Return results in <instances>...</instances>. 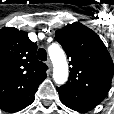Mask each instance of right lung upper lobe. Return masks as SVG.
<instances>
[{
	"label": "right lung upper lobe",
	"mask_w": 114,
	"mask_h": 114,
	"mask_svg": "<svg viewBox=\"0 0 114 114\" xmlns=\"http://www.w3.org/2000/svg\"><path fill=\"white\" fill-rule=\"evenodd\" d=\"M37 45L16 28L0 30V107L37 91L47 66L36 57Z\"/></svg>",
	"instance_id": "right-lung-upper-lobe-1"
}]
</instances>
